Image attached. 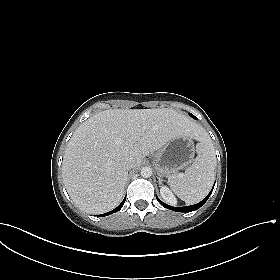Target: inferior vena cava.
Masks as SVG:
<instances>
[{
    "label": "inferior vena cava",
    "instance_id": "obj_1",
    "mask_svg": "<svg viewBox=\"0 0 280 280\" xmlns=\"http://www.w3.org/2000/svg\"><path fill=\"white\" fill-rule=\"evenodd\" d=\"M123 165L126 170H130L135 167V159L132 156H127L123 160Z\"/></svg>",
    "mask_w": 280,
    "mask_h": 280
}]
</instances>
